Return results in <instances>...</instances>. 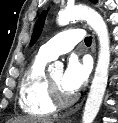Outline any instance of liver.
Returning a JSON list of instances; mask_svg holds the SVG:
<instances>
[{"mask_svg":"<svg viewBox=\"0 0 118 123\" xmlns=\"http://www.w3.org/2000/svg\"><path fill=\"white\" fill-rule=\"evenodd\" d=\"M8 123H54L50 118L20 117L11 119Z\"/></svg>","mask_w":118,"mask_h":123,"instance_id":"liver-1","label":"liver"}]
</instances>
